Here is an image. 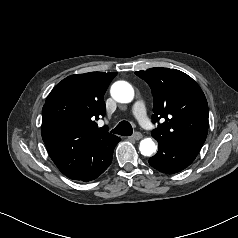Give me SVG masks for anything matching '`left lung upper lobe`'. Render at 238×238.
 I'll list each match as a JSON object with an SVG mask.
<instances>
[{
  "label": "left lung upper lobe",
  "mask_w": 238,
  "mask_h": 238,
  "mask_svg": "<svg viewBox=\"0 0 238 238\" xmlns=\"http://www.w3.org/2000/svg\"><path fill=\"white\" fill-rule=\"evenodd\" d=\"M144 79L154 97L153 122H159L152 136L200 150L208 132V104L199 85L176 69L150 68L135 72Z\"/></svg>",
  "instance_id": "obj_1"
}]
</instances>
